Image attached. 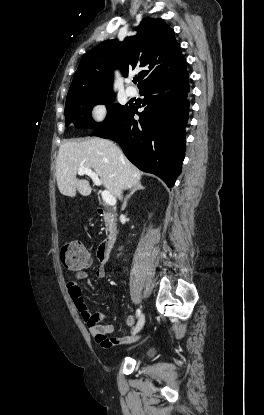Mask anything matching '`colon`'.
Listing matches in <instances>:
<instances>
[{
    "mask_svg": "<svg viewBox=\"0 0 264 415\" xmlns=\"http://www.w3.org/2000/svg\"><path fill=\"white\" fill-rule=\"evenodd\" d=\"M60 262L66 270L72 271L89 265L91 258L80 242L69 241L61 249Z\"/></svg>",
    "mask_w": 264,
    "mask_h": 415,
    "instance_id": "5ec220e1",
    "label": "colon"
}]
</instances>
